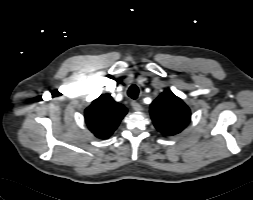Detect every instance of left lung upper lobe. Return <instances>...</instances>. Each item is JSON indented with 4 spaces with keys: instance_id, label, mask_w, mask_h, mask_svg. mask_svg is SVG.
I'll return each mask as SVG.
<instances>
[{
    "instance_id": "5c2ea615",
    "label": "left lung upper lobe",
    "mask_w": 253,
    "mask_h": 200,
    "mask_svg": "<svg viewBox=\"0 0 253 200\" xmlns=\"http://www.w3.org/2000/svg\"><path fill=\"white\" fill-rule=\"evenodd\" d=\"M150 114L157 130L169 136L181 132L191 116L188 106L169 90L152 102Z\"/></svg>"
}]
</instances>
